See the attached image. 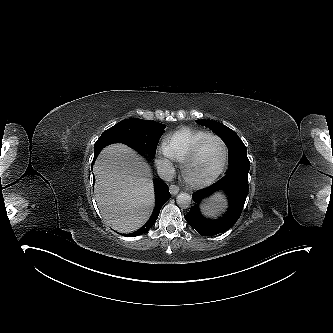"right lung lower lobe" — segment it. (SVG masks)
I'll list each match as a JSON object with an SVG mask.
<instances>
[{
    "mask_svg": "<svg viewBox=\"0 0 333 333\" xmlns=\"http://www.w3.org/2000/svg\"><path fill=\"white\" fill-rule=\"evenodd\" d=\"M116 142L124 143V144L130 146L131 148L137 150L136 147L126 137H124L120 134L114 133V132L105 131V132H103V134L100 136V138L96 141V143L94 145V159L92 162V168H93V163L96 160V158H97L98 154L100 153V151L102 150V148H104L105 146H107L109 144L116 143ZM137 151H139V150H137ZM93 180H95L94 176H93ZM154 187H155V195H156V204H155V208H154V211H153L150 219L147 221V223L145 225H143L137 231H135L133 233H129V234H124V236L135 237V236L141 235V234L145 233L146 231H148L156 222L163 204L170 198V193H169L167 184L162 181L155 180Z\"/></svg>",
    "mask_w": 333,
    "mask_h": 333,
    "instance_id": "98d812e1",
    "label": "right lung lower lobe"
}]
</instances>
